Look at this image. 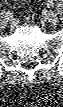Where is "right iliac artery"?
<instances>
[{
	"label": "right iliac artery",
	"mask_w": 63,
	"mask_h": 107,
	"mask_svg": "<svg viewBox=\"0 0 63 107\" xmlns=\"http://www.w3.org/2000/svg\"><path fill=\"white\" fill-rule=\"evenodd\" d=\"M2 17H5L7 20L11 21L13 18V14L11 12L2 13Z\"/></svg>",
	"instance_id": "obj_1"
}]
</instances>
